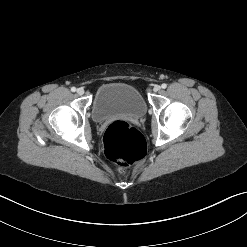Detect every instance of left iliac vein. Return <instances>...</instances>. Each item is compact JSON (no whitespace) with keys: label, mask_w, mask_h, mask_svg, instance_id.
<instances>
[{"label":"left iliac vein","mask_w":247,"mask_h":247,"mask_svg":"<svg viewBox=\"0 0 247 247\" xmlns=\"http://www.w3.org/2000/svg\"><path fill=\"white\" fill-rule=\"evenodd\" d=\"M153 90H154L155 92H158V91L161 90V87H160L159 85H155L154 88H153Z\"/></svg>","instance_id":"obj_1"}]
</instances>
